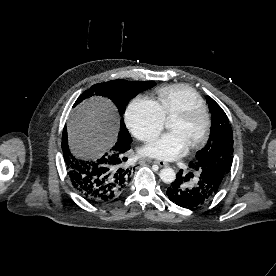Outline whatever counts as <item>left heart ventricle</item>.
Returning a JSON list of instances; mask_svg holds the SVG:
<instances>
[{"mask_svg":"<svg viewBox=\"0 0 276 276\" xmlns=\"http://www.w3.org/2000/svg\"><path fill=\"white\" fill-rule=\"evenodd\" d=\"M203 128L204 118L201 116L191 121L173 119L170 123V130L181 133L189 146L201 136Z\"/></svg>","mask_w":276,"mask_h":276,"instance_id":"left-heart-ventricle-1","label":"left heart ventricle"}]
</instances>
